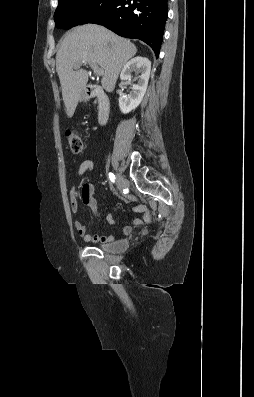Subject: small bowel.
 Masks as SVG:
<instances>
[{
	"instance_id": "obj_1",
	"label": "small bowel",
	"mask_w": 254,
	"mask_h": 397,
	"mask_svg": "<svg viewBox=\"0 0 254 397\" xmlns=\"http://www.w3.org/2000/svg\"><path fill=\"white\" fill-rule=\"evenodd\" d=\"M94 164L91 160L89 159H83L82 162L79 165L78 168V176H83L87 173H90L93 170ZM76 191L77 188L73 187L71 189V208L74 213L77 212L78 210V202L76 200ZM94 194V186L91 183H86L84 184L82 191H81V199L82 202L88 206L92 212L96 215L99 216V213L97 212V202L96 199L93 196ZM128 200H132L131 197H127ZM135 212L143 213V219L141 218H135L131 224L124 225L122 228L123 234L127 235L131 232L133 227L140 226L143 221H150V213L148 209L144 205H137L133 208ZM106 220L110 224H115V220L113 219L111 213H107L105 216ZM75 229L77 233L79 234L80 237L83 238L85 242L89 243H110L114 241V236L112 235H100V234H89L87 232V226L81 222V221H76L74 223Z\"/></svg>"
}]
</instances>
